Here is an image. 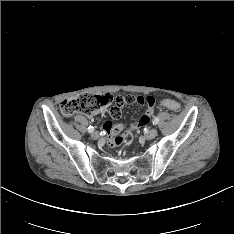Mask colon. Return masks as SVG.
Here are the masks:
<instances>
[{
    "label": "colon",
    "mask_w": 234,
    "mask_h": 234,
    "mask_svg": "<svg viewBox=\"0 0 234 234\" xmlns=\"http://www.w3.org/2000/svg\"><path fill=\"white\" fill-rule=\"evenodd\" d=\"M117 98H119V96L116 97L115 103ZM112 101L113 98L110 94L84 93L62 101L60 105V112L66 117L79 113L84 115H92L109 107ZM164 104L172 111L178 112L180 110V104L174 100H164Z\"/></svg>",
    "instance_id": "5ec220e1"
}]
</instances>
